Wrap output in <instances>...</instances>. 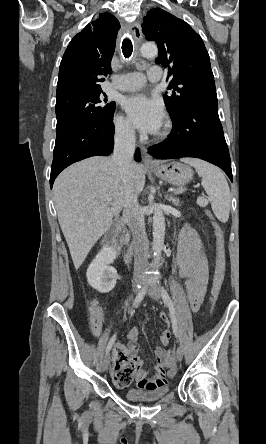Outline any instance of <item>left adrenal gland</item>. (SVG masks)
Masks as SVG:
<instances>
[{
  "label": "left adrenal gland",
  "mask_w": 266,
  "mask_h": 444,
  "mask_svg": "<svg viewBox=\"0 0 266 444\" xmlns=\"http://www.w3.org/2000/svg\"><path fill=\"white\" fill-rule=\"evenodd\" d=\"M165 198H166L169 202H171L172 204H174V205H176V206L179 205V199L174 198L173 196H169L168 194L165 195Z\"/></svg>",
  "instance_id": "left-adrenal-gland-1"
}]
</instances>
